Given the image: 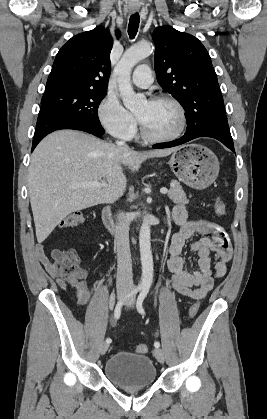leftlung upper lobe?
I'll return each instance as SVG.
<instances>
[{
    "label": "left lung upper lobe",
    "mask_w": 267,
    "mask_h": 419,
    "mask_svg": "<svg viewBox=\"0 0 267 419\" xmlns=\"http://www.w3.org/2000/svg\"><path fill=\"white\" fill-rule=\"evenodd\" d=\"M155 71L159 85L182 105L187 126L205 114L227 121L210 56L194 36L164 26L154 30Z\"/></svg>",
    "instance_id": "1"
}]
</instances>
